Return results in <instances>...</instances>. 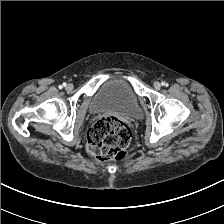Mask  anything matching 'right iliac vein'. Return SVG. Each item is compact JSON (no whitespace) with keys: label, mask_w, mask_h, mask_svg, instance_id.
<instances>
[{"label":"right iliac vein","mask_w":224,"mask_h":224,"mask_svg":"<svg viewBox=\"0 0 224 224\" xmlns=\"http://www.w3.org/2000/svg\"><path fill=\"white\" fill-rule=\"evenodd\" d=\"M66 89H67L68 91H71V90L73 89V85H72V84H68V85L66 86Z\"/></svg>","instance_id":"1"}]
</instances>
